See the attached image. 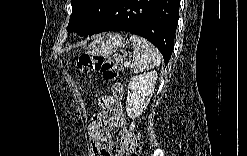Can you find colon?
I'll return each instance as SVG.
<instances>
[{
	"label": "colon",
	"instance_id": "obj_1",
	"mask_svg": "<svg viewBox=\"0 0 247 156\" xmlns=\"http://www.w3.org/2000/svg\"><path fill=\"white\" fill-rule=\"evenodd\" d=\"M78 70L82 76H86L92 72H101L106 81L117 82L118 70L112 59L104 55H81L78 59ZM131 137L130 148L127 155L136 156L140 150V134L136 127L132 124L129 127Z\"/></svg>",
	"mask_w": 247,
	"mask_h": 156
}]
</instances>
